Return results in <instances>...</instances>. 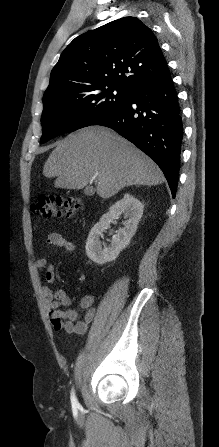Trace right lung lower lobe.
Returning a JSON list of instances; mask_svg holds the SVG:
<instances>
[{
    "instance_id": "1",
    "label": "right lung lower lobe",
    "mask_w": 219,
    "mask_h": 447,
    "mask_svg": "<svg viewBox=\"0 0 219 447\" xmlns=\"http://www.w3.org/2000/svg\"><path fill=\"white\" fill-rule=\"evenodd\" d=\"M115 130L163 171L176 194L183 139L182 112L170 72L134 92L129 100L91 123Z\"/></svg>"
}]
</instances>
